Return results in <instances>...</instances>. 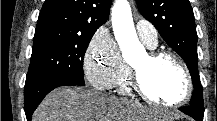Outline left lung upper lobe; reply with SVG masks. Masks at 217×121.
<instances>
[{"label":"left lung upper lobe","mask_w":217,"mask_h":121,"mask_svg":"<svg viewBox=\"0 0 217 121\" xmlns=\"http://www.w3.org/2000/svg\"><path fill=\"white\" fill-rule=\"evenodd\" d=\"M145 19L159 31L166 43L186 62L194 90L190 108L203 121V88L200 84L197 55V32L189 0H136Z\"/></svg>","instance_id":"obj_1"}]
</instances>
